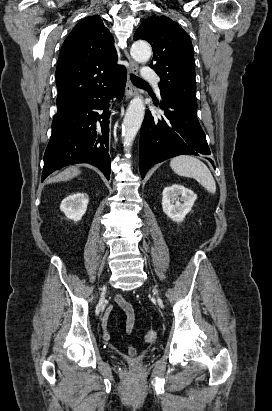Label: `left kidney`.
Instances as JSON below:
<instances>
[{"label": "left kidney", "mask_w": 272, "mask_h": 411, "mask_svg": "<svg viewBox=\"0 0 272 411\" xmlns=\"http://www.w3.org/2000/svg\"><path fill=\"white\" fill-rule=\"evenodd\" d=\"M197 195L184 186L173 184L162 192L163 212L173 221L182 222L191 211Z\"/></svg>", "instance_id": "5707ae66"}]
</instances>
